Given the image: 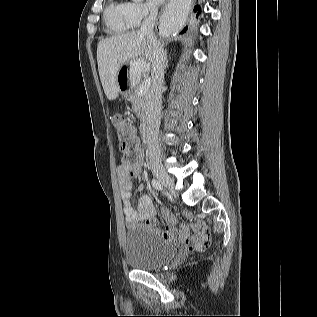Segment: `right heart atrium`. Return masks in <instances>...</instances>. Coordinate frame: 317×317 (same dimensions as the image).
<instances>
[{
    "mask_svg": "<svg viewBox=\"0 0 317 317\" xmlns=\"http://www.w3.org/2000/svg\"><path fill=\"white\" fill-rule=\"evenodd\" d=\"M129 17L134 27L139 26L144 20L151 17L155 9L152 5L139 0L127 2Z\"/></svg>",
    "mask_w": 317,
    "mask_h": 317,
    "instance_id": "obj_1",
    "label": "right heart atrium"
}]
</instances>
